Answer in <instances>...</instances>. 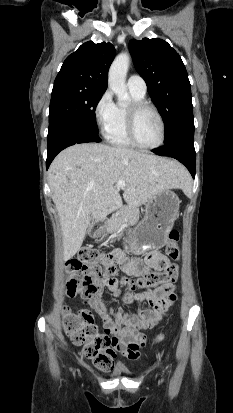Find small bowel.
<instances>
[{"mask_svg":"<svg viewBox=\"0 0 233 413\" xmlns=\"http://www.w3.org/2000/svg\"><path fill=\"white\" fill-rule=\"evenodd\" d=\"M123 249L116 247L112 257L119 261L120 271L127 276H142L151 269L161 270L169 261L165 255L148 249L145 261H134L133 256L123 257ZM108 289L116 297H121L123 303L131 304L148 303L153 309L142 310L140 307L134 312H125L122 308L108 309L103 299V292ZM173 283L163 284L155 290L143 293L124 294L121 296L118 282L114 280H102L97 293L89 298V306L96 311L102 320L104 331L110 334L111 346L130 361L137 360L140 349L145 345L146 335L142 330L150 329L160 323L168 308L177 302L174 295Z\"/></svg>","mask_w":233,"mask_h":413,"instance_id":"obj_1","label":"small bowel"}]
</instances>
